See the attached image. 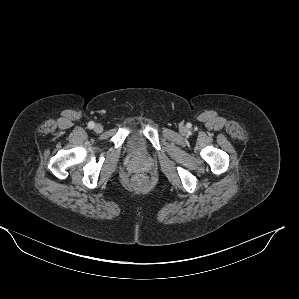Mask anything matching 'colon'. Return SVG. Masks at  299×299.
Here are the masks:
<instances>
[{
    "label": "colon",
    "instance_id": "5ec220e1",
    "mask_svg": "<svg viewBox=\"0 0 299 299\" xmlns=\"http://www.w3.org/2000/svg\"><path fill=\"white\" fill-rule=\"evenodd\" d=\"M134 186L144 188L147 185V178L143 174H138L133 178Z\"/></svg>",
    "mask_w": 299,
    "mask_h": 299
}]
</instances>
